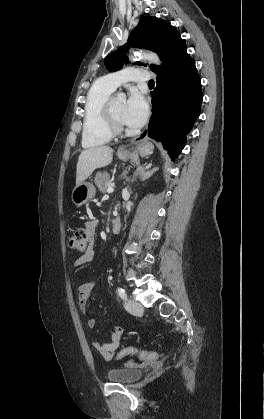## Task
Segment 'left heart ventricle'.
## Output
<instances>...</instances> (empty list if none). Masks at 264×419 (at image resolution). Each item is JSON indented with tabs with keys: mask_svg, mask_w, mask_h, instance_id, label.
Masks as SVG:
<instances>
[{
	"mask_svg": "<svg viewBox=\"0 0 264 419\" xmlns=\"http://www.w3.org/2000/svg\"><path fill=\"white\" fill-rule=\"evenodd\" d=\"M125 108V102L120 99H114L112 102V109L114 114L123 121V113Z\"/></svg>",
	"mask_w": 264,
	"mask_h": 419,
	"instance_id": "1",
	"label": "left heart ventricle"
}]
</instances>
